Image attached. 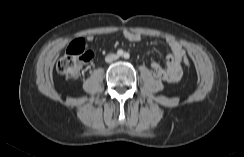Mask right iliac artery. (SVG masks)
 <instances>
[{
    "mask_svg": "<svg viewBox=\"0 0 244 157\" xmlns=\"http://www.w3.org/2000/svg\"><path fill=\"white\" fill-rule=\"evenodd\" d=\"M123 54H124L123 50L119 49V50L117 51V55H118L119 57L123 56Z\"/></svg>",
    "mask_w": 244,
    "mask_h": 157,
    "instance_id": "82829eb1",
    "label": "right iliac artery"
}]
</instances>
